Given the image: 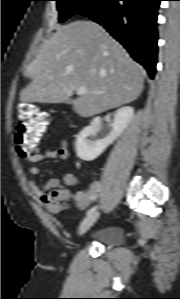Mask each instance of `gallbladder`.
<instances>
[{
    "label": "gallbladder",
    "mask_w": 180,
    "mask_h": 299,
    "mask_svg": "<svg viewBox=\"0 0 180 299\" xmlns=\"http://www.w3.org/2000/svg\"><path fill=\"white\" fill-rule=\"evenodd\" d=\"M66 103H67V104H71V103H72V99H68V100L66 101Z\"/></svg>",
    "instance_id": "bac80fb5"
}]
</instances>
